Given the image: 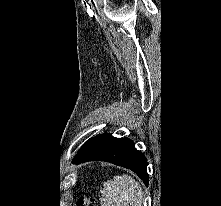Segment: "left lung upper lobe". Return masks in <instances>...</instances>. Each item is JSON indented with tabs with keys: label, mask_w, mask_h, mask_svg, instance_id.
I'll return each mask as SVG.
<instances>
[{
	"label": "left lung upper lobe",
	"mask_w": 221,
	"mask_h": 206,
	"mask_svg": "<svg viewBox=\"0 0 221 206\" xmlns=\"http://www.w3.org/2000/svg\"><path fill=\"white\" fill-rule=\"evenodd\" d=\"M97 137H94V138H91L90 140H88L82 147H81V149L79 150V152L80 151H82L85 147H87L92 141H94L95 139H96ZM78 152V153H79Z\"/></svg>",
	"instance_id": "5c2ea615"
}]
</instances>
